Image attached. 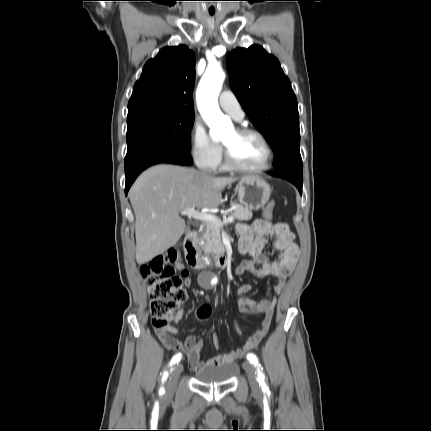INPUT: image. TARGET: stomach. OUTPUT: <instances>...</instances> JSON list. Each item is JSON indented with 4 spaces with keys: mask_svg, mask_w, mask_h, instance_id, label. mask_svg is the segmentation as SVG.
<instances>
[{
    "mask_svg": "<svg viewBox=\"0 0 431 431\" xmlns=\"http://www.w3.org/2000/svg\"><path fill=\"white\" fill-rule=\"evenodd\" d=\"M238 200L250 210H259L268 202L271 189L268 183L256 176L243 177L235 187Z\"/></svg>",
    "mask_w": 431,
    "mask_h": 431,
    "instance_id": "0dacf381",
    "label": "stomach"
}]
</instances>
